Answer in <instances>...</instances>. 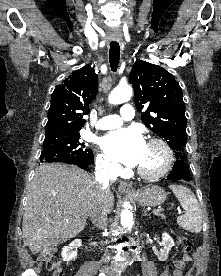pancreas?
<instances>
[{
    "mask_svg": "<svg viewBox=\"0 0 221 276\" xmlns=\"http://www.w3.org/2000/svg\"><path fill=\"white\" fill-rule=\"evenodd\" d=\"M160 216H162V218H164V215H161V214H159Z\"/></svg>",
    "mask_w": 221,
    "mask_h": 276,
    "instance_id": "cf45deb5",
    "label": "pancreas"
}]
</instances>
